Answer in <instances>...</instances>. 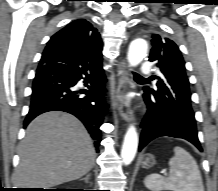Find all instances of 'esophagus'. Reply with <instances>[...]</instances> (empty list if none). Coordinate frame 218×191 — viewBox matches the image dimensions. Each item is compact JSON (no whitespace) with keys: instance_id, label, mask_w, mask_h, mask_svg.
<instances>
[{"instance_id":"obj_1","label":"esophagus","mask_w":218,"mask_h":191,"mask_svg":"<svg viewBox=\"0 0 218 191\" xmlns=\"http://www.w3.org/2000/svg\"><path fill=\"white\" fill-rule=\"evenodd\" d=\"M128 90V71L126 60H120L117 64V87L115 100L119 115L126 121L132 120V111L125 100V93Z\"/></svg>"}]
</instances>
